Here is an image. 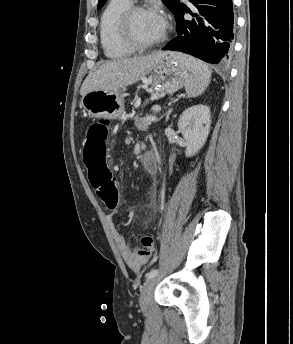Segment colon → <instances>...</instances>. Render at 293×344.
Here are the masks:
<instances>
[{
	"instance_id": "1",
	"label": "colon",
	"mask_w": 293,
	"mask_h": 344,
	"mask_svg": "<svg viewBox=\"0 0 293 344\" xmlns=\"http://www.w3.org/2000/svg\"><path fill=\"white\" fill-rule=\"evenodd\" d=\"M108 125L107 121H101L88 127L84 144V162L97 196L109 209H115L119 204V191L115 179L107 168ZM154 252L153 238L143 236L136 250L137 258L148 259L154 255Z\"/></svg>"
}]
</instances>
